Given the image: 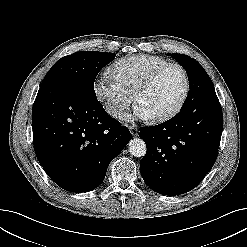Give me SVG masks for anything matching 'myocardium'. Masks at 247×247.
Instances as JSON below:
<instances>
[{
    "mask_svg": "<svg viewBox=\"0 0 247 247\" xmlns=\"http://www.w3.org/2000/svg\"><path fill=\"white\" fill-rule=\"evenodd\" d=\"M170 68H178L184 77V89L183 92L178 100V102L175 104L173 108H171L169 111L158 115L154 116L151 119L154 122H164L175 116L183 107L185 104L187 97L189 95L190 91V78L188 75L187 70L178 63H168L166 65H163L157 69H155L153 72H151L135 89L133 93V100L135 103H137L139 96L145 92L148 88H150L153 83L156 81V79L166 70Z\"/></svg>",
    "mask_w": 247,
    "mask_h": 247,
    "instance_id": "1",
    "label": "myocardium"
}]
</instances>
